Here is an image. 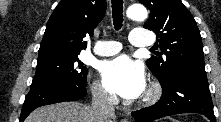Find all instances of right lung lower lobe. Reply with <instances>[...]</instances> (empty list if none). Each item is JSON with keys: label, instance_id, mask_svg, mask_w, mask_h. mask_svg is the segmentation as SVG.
<instances>
[{"label": "right lung lower lobe", "instance_id": "1", "mask_svg": "<svg viewBox=\"0 0 221 122\" xmlns=\"http://www.w3.org/2000/svg\"><path fill=\"white\" fill-rule=\"evenodd\" d=\"M86 86L87 82L83 84L62 83L31 88L25 98L19 122H23L37 107L63 101H75L86 96Z\"/></svg>", "mask_w": 221, "mask_h": 122}]
</instances>
